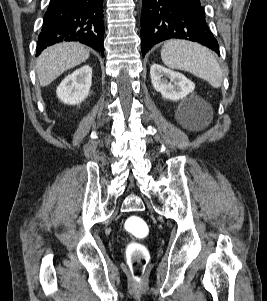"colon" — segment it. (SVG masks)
I'll return each instance as SVG.
<instances>
[{
    "mask_svg": "<svg viewBox=\"0 0 267 301\" xmlns=\"http://www.w3.org/2000/svg\"><path fill=\"white\" fill-rule=\"evenodd\" d=\"M125 229L135 238H144L148 234L146 222L139 216L132 215L125 222ZM127 262L135 282H141L149 261L147 247L139 242H132L126 250Z\"/></svg>",
    "mask_w": 267,
    "mask_h": 301,
    "instance_id": "obj_1",
    "label": "colon"
}]
</instances>
